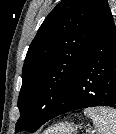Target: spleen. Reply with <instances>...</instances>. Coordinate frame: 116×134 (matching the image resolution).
Here are the masks:
<instances>
[{"label": "spleen", "mask_w": 116, "mask_h": 134, "mask_svg": "<svg viewBox=\"0 0 116 134\" xmlns=\"http://www.w3.org/2000/svg\"><path fill=\"white\" fill-rule=\"evenodd\" d=\"M84 114L92 119L97 134H116V110L106 107L88 108Z\"/></svg>", "instance_id": "obj_1"}]
</instances>
